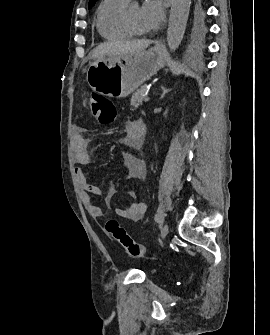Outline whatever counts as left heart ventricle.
I'll use <instances>...</instances> for the list:
<instances>
[{
  "instance_id": "left-heart-ventricle-1",
  "label": "left heart ventricle",
  "mask_w": 270,
  "mask_h": 335,
  "mask_svg": "<svg viewBox=\"0 0 270 335\" xmlns=\"http://www.w3.org/2000/svg\"><path fill=\"white\" fill-rule=\"evenodd\" d=\"M128 22L131 27L136 31L140 32L141 29V8L139 6L131 7L125 12Z\"/></svg>"
}]
</instances>
